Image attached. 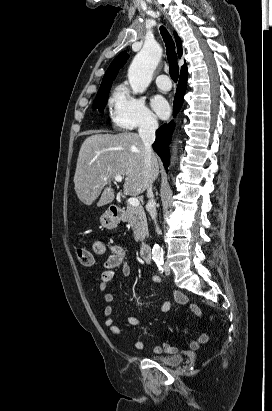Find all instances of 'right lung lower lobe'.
I'll list each match as a JSON object with an SVG mask.
<instances>
[{"instance_id":"98d812e1","label":"right lung lower lobe","mask_w":272,"mask_h":411,"mask_svg":"<svg viewBox=\"0 0 272 411\" xmlns=\"http://www.w3.org/2000/svg\"><path fill=\"white\" fill-rule=\"evenodd\" d=\"M187 78L188 72L184 71L181 72L178 87L176 90V95L174 99V116L180 110L183 97L187 88ZM175 125L172 123L163 124L157 131H156V140L153 143L154 151L159 155L162 159L164 167L167 169L169 165V144L171 142V135L173 133Z\"/></svg>"}]
</instances>
